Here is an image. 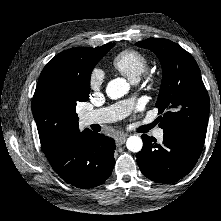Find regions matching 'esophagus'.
Segmentation results:
<instances>
[{
	"mask_svg": "<svg viewBox=\"0 0 221 221\" xmlns=\"http://www.w3.org/2000/svg\"><path fill=\"white\" fill-rule=\"evenodd\" d=\"M126 137H127V135L124 134V133L118 134L117 137H116V144H117L118 146L124 144L125 141H126Z\"/></svg>",
	"mask_w": 221,
	"mask_h": 221,
	"instance_id": "1",
	"label": "esophagus"
}]
</instances>
